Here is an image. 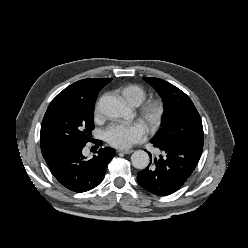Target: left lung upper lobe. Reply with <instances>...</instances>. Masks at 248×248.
Here are the masks:
<instances>
[{"label":"left lung upper lobe","instance_id":"5c2ea615","mask_svg":"<svg viewBox=\"0 0 248 248\" xmlns=\"http://www.w3.org/2000/svg\"><path fill=\"white\" fill-rule=\"evenodd\" d=\"M143 79L158 92L164 105L161 127L152 142H188L203 146L202 121L191 99L165 80L153 77Z\"/></svg>","mask_w":248,"mask_h":248}]
</instances>
